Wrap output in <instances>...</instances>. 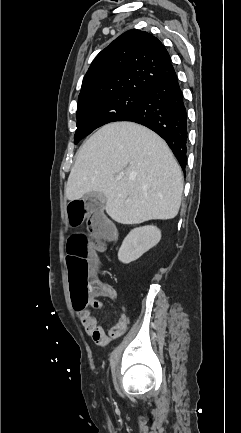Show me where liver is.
Segmentation results:
<instances>
[{"instance_id": "liver-1", "label": "liver", "mask_w": 241, "mask_h": 433, "mask_svg": "<svg viewBox=\"0 0 241 433\" xmlns=\"http://www.w3.org/2000/svg\"><path fill=\"white\" fill-rule=\"evenodd\" d=\"M94 191L105 195L106 212L118 223L168 220L181 205L183 174L156 133L133 122H114L78 150L65 196L73 201Z\"/></svg>"}]
</instances>
